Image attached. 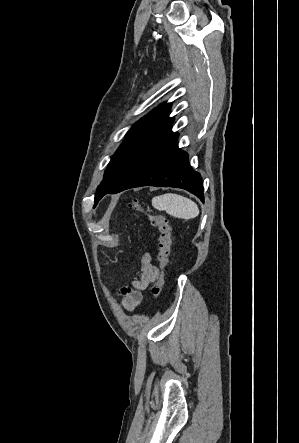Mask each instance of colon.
Segmentation results:
<instances>
[{"instance_id":"5ec220e1","label":"colon","mask_w":299,"mask_h":443,"mask_svg":"<svg viewBox=\"0 0 299 443\" xmlns=\"http://www.w3.org/2000/svg\"><path fill=\"white\" fill-rule=\"evenodd\" d=\"M130 206L136 211L143 212L144 210L140 205L138 199L134 198L130 203ZM150 224L158 230V269L155 284L152 288V294L155 297H162L163 288V272L168 263V257L170 254V226L167 219L162 215L147 214Z\"/></svg>"}]
</instances>
